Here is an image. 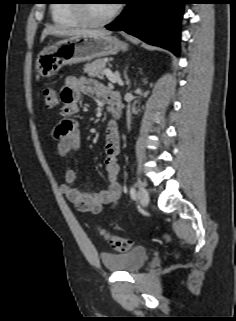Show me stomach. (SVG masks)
Returning <instances> with one entry per match:
<instances>
[{"instance_id": "stomach-1", "label": "stomach", "mask_w": 236, "mask_h": 321, "mask_svg": "<svg viewBox=\"0 0 236 321\" xmlns=\"http://www.w3.org/2000/svg\"><path fill=\"white\" fill-rule=\"evenodd\" d=\"M127 49L126 43L110 35H72L44 48L37 57L36 69L41 77H52L65 65L115 55Z\"/></svg>"}]
</instances>
